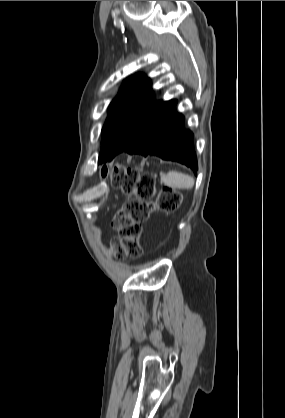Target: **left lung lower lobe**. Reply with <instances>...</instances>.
Instances as JSON below:
<instances>
[{"mask_svg": "<svg viewBox=\"0 0 285 418\" xmlns=\"http://www.w3.org/2000/svg\"><path fill=\"white\" fill-rule=\"evenodd\" d=\"M176 104V100L162 102L122 152L156 155L185 164L196 172L194 135L185 130L184 116L175 111ZM107 154V150L103 151L100 158Z\"/></svg>", "mask_w": 285, "mask_h": 418, "instance_id": "obj_1", "label": "left lung lower lobe"}]
</instances>
